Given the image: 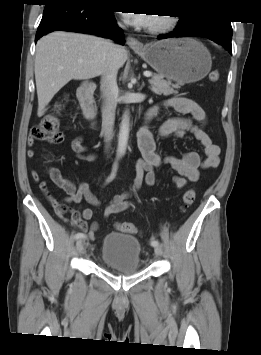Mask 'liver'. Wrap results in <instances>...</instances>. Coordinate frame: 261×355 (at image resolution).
Masks as SVG:
<instances>
[{"instance_id": "obj_1", "label": "liver", "mask_w": 261, "mask_h": 355, "mask_svg": "<svg viewBox=\"0 0 261 355\" xmlns=\"http://www.w3.org/2000/svg\"><path fill=\"white\" fill-rule=\"evenodd\" d=\"M108 43L103 38L63 31L50 33L37 42L34 71L39 117L69 81L102 75ZM118 48L120 68L127 59V51L122 46Z\"/></svg>"}]
</instances>
